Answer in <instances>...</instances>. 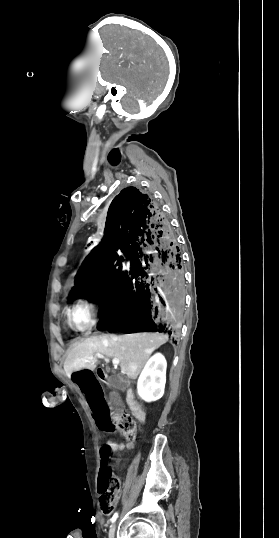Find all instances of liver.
<instances>
[{
    "mask_svg": "<svg viewBox=\"0 0 279 538\" xmlns=\"http://www.w3.org/2000/svg\"><path fill=\"white\" fill-rule=\"evenodd\" d=\"M164 334H125V336H99L86 338L84 342L72 346L65 362L64 370L68 374L79 370H95V354L120 360V368L131 380H136L141 368L154 350L167 342Z\"/></svg>",
    "mask_w": 279,
    "mask_h": 538,
    "instance_id": "liver-1",
    "label": "liver"
}]
</instances>
